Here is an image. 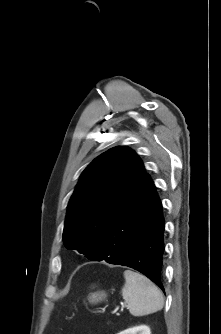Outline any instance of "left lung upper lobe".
I'll use <instances>...</instances> for the list:
<instances>
[{"label": "left lung upper lobe", "instance_id": "1", "mask_svg": "<svg viewBox=\"0 0 221 334\" xmlns=\"http://www.w3.org/2000/svg\"><path fill=\"white\" fill-rule=\"evenodd\" d=\"M145 175L141 160L127 147H114L93 160L68 204L66 248L93 261L108 226Z\"/></svg>", "mask_w": 221, "mask_h": 334}]
</instances>
